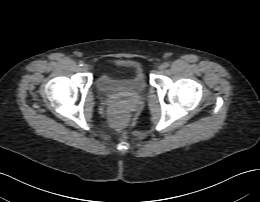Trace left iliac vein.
<instances>
[{
	"label": "left iliac vein",
	"instance_id": "obj_1",
	"mask_svg": "<svg viewBox=\"0 0 260 202\" xmlns=\"http://www.w3.org/2000/svg\"><path fill=\"white\" fill-rule=\"evenodd\" d=\"M165 67L163 65L158 66V71L162 73L164 71Z\"/></svg>",
	"mask_w": 260,
	"mask_h": 202
}]
</instances>
